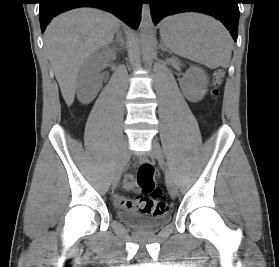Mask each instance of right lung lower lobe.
Instances as JSON below:
<instances>
[{
	"label": "right lung lower lobe",
	"mask_w": 279,
	"mask_h": 267,
	"mask_svg": "<svg viewBox=\"0 0 279 267\" xmlns=\"http://www.w3.org/2000/svg\"><path fill=\"white\" fill-rule=\"evenodd\" d=\"M142 0H39L41 31L44 32L51 19L72 8L91 6L107 10L137 29L140 22Z\"/></svg>",
	"instance_id": "1"
}]
</instances>
